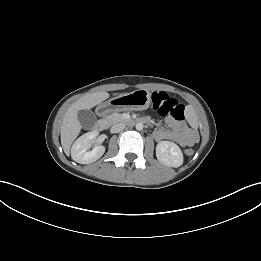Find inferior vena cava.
<instances>
[{
    "label": "inferior vena cava",
    "instance_id": "1",
    "mask_svg": "<svg viewBox=\"0 0 261 261\" xmlns=\"http://www.w3.org/2000/svg\"><path fill=\"white\" fill-rule=\"evenodd\" d=\"M124 128H125V124H124V123H122V122L116 123V124H114V125L111 127V132H112V133H118V132L124 130Z\"/></svg>",
    "mask_w": 261,
    "mask_h": 261
}]
</instances>
